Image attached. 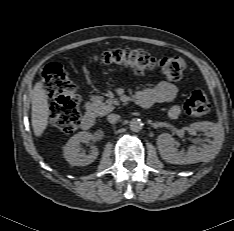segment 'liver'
<instances>
[{"instance_id": "1", "label": "liver", "mask_w": 234, "mask_h": 231, "mask_svg": "<svg viewBox=\"0 0 234 231\" xmlns=\"http://www.w3.org/2000/svg\"><path fill=\"white\" fill-rule=\"evenodd\" d=\"M49 115V104L43 84L37 82L33 89L31 113L32 127L36 137H40L47 128Z\"/></svg>"}]
</instances>
